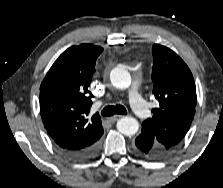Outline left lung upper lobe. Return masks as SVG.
Returning <instances> with one entry per match:
<instances>
[{"mask_svg": "<svg viewBox=\"0 0 223 188\" xmlns=\"http://www.w3.org/2000/svg\"><path fill=\"white\" fill-rule=\"evenodd\" d=\"M153 51V94L159 106L142 131L167 154L173 152L190 128L195 114L196 87L191 71L171 49L155 44Z\"/></svg>", "mask_w": 223, "mask_h": 188, "instance_id": "left-lung-upper-lobe-1", "label": "left lung upper lobe"}]
</instances>
